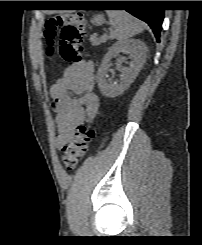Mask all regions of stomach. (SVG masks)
<instances>
[{
  "mask_svg": "<svg viewBox=\"0 0 202 245\" xmlns=\"http://www.w3.org/2000/svg\"><path fill=\"white\" fill-rule=\"evenodd\" d=\"M91 22L95 25H101L104 22V17L103 15H96L94 18L91 20Z\"/></svg>",
  "mask_w": 202,
  "mask_h": 245,
  "instance_id": "stomach-1",
  "label": "stomach"
}]
</instances>
